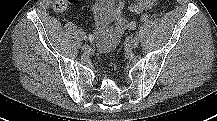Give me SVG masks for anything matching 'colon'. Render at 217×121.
<instances>
[{
  "label": "colon",
  "instance_id": "1",
  "mask_svg": "<svg viewBox=\"0 0 217 121\" xmlns=\"http://www.w3.org/2000/svg\"><path fill=\"white\" fill-rule=\"evenodd\" d=\"M78 0H53L52 7L57 12H63L69 9Z\"/></svg>",
  "mask_w": 217,
  "mask_h": 121
}]
</instances>
